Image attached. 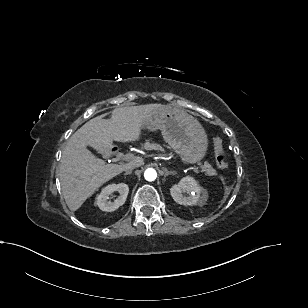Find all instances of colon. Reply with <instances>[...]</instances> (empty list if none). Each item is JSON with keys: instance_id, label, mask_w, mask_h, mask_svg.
I'll list each match as a JSON object with an SVG mask.
<instances>
[{"instance_id": "5ec220e1", "label": "colon", "mask_w": 308, "mask_h": 308, "mask_svg": "<svg viewBox=\"0 0 308 308\" xmlns=\"http://www.w3.org/2000/svg\"><path fill=\"white\" fill-rule=\"evenodd\" d=\"M216 164L219 168L225 169L228 167L227 155L224 150V146L221 138L215 137L213 139Z\"/></svg>"}]
</instances>
